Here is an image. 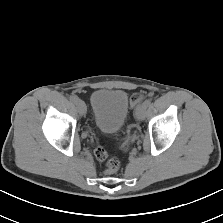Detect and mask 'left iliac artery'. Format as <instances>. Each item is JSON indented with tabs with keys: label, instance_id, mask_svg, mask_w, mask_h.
I'll use <instances>...</instances> for the list:
<instances>
[{
	"label": "left iliac artery",
	"instance_id": "1",
	"mask_svg": "<svg viewBox=\"0 0 223 223\" xmlns=\"http://www.w3.org/2000/svg\"><path fill=\"white\" fill-rule=\"evenodd\" d=\"M146 107H148L150 104H151V100L150 99H147L144 101L143 103Z\"/></svg>",
	"mask_w": 223,
	"mask_h": 223
}]
</instances>
